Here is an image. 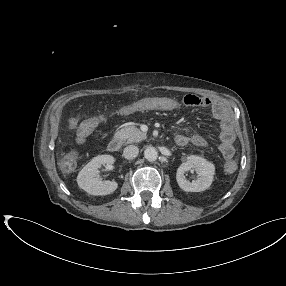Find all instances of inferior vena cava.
Wrapping results in <instances>:
<instances>
[{
  "label": "inferior vena cava",
  "mask_w": 286,
  "mask_h": 286,
  "mask_svg": "<svg viewBox=\"0 0 286 286\" xmlns=\"http://www.w3.org/2000/svg\"><path fill=\"white\" fill-rule=\"evenodd\" d=\"M138 153H139V149L137 146L129 145L124 148L123 156L126 159H133L138 155Z\"/></svg>",
  "instance_id": "602c4592"
}]
</instances>
